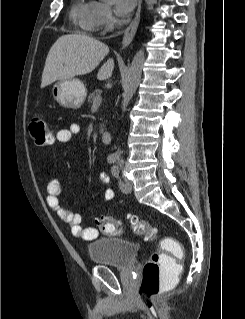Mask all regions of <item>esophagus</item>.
<instances>
[{"label": "esophagus", "instance_id": "obj_1", "mask_svg": "<svg viewBox=\"0 0 245 319\" xmlns=\"http://www.w3.org/2000/svg\"><path fill=\"white\" fill-rule=\"evenodd\" d=\"M141 3H142V0H139L136 15L124 33V37L122 40V48H126L131 43L137 31L139 21H140Z\"/></svg>", "mask_w": 245, "mask_h": 319}]
</instances>
